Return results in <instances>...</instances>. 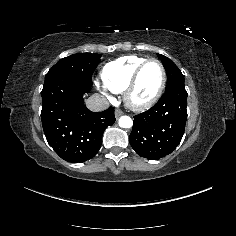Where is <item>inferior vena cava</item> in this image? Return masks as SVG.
Returning a JSON list of instances; mask_svg holds the SVG:
<instances>
[{
    "label": "inferior vena cava",
    "mask_w": 236,
    "mask_h": 236,
    "mask_svg": "<svg viewBox=\"0 0 236 236\" xmlns=\"http://www.w3.org/2000/svg\"><path fill=\"white\" fill-rule=\"evenodd\" d=\"M86 106L89 110L94 112L103 111L109 107V102L104 96L93 94L87 99Z\"/></svg>",
    "instance_id": "602c4592"
}]
</instances>
